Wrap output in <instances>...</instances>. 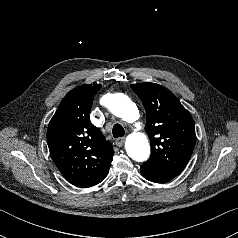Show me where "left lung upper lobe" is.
I'll return each instance as SVG.
<instances>
[{
  "label": "left lung upper lobe",
  "instance_id": "left-lung-upper-lobe-1",
  "mask_svg": "<svg viewBox=\"0 0 238 238\" xmlns=\"http://www.w3.org/2000/svg\"><path fill=\"white\" fill-rule=\"evenodd\" d=\"M146 110L145 131L151 142L146 162L182 172L195 146V125L189 112L167 88L155 83L131 85Z\"/></svg>",
  "mask_w": 238,
  "mask_h": 238
}]
</instances>
